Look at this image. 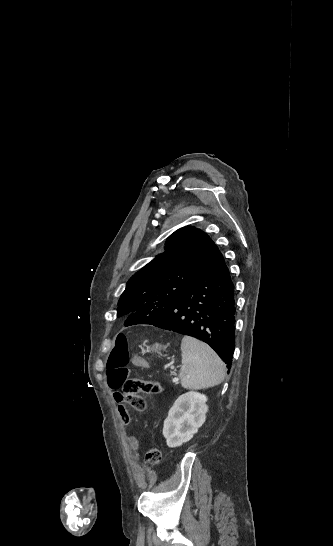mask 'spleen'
<instances>
[{"instance_id": "3e777b00", "label": "spleen", "mask_w": 333, "mask_h": 546, "mask_svg": "<svg viewBox=\"0 0 333 546\" xmlns=\"http://www.w3.org/2000/svg\"><path fill=\"white\" fill-rule=\"evenodd\" d=\"M181 385L189 389L215 386L225 378V364L205 343L185 336L181 342Z\"/></svg>"}]
</instances>
